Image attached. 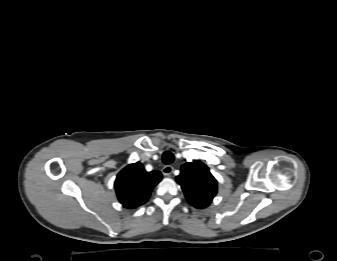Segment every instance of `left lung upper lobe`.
<instances>
[{
    "label": "left lung upper lobe",
    "instance_id": "1",
    "mask_svg": "<svg viewBox=\"0 0 337 261\" xmlns=\"http://www.w3.org/2000/svg\"><path fill=\"white\" fill-rule=\"evenodd\" d=\"M176 182L181 185L187 201L198 209L208 207L217 193L216 179L200 161L182 165Z\"/></svg>",
    "mask_w": 337,
    "mask_h": 261
}]
</instances>
